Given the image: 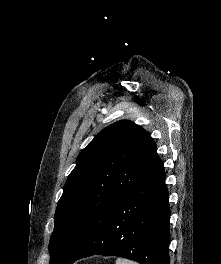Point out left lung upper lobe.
<instances>
[{"mask_svg": "<svg viewBox=\"0 0 221 264\" xmlns=\"http://www.w3.org/2000/svg\"><path fill=\"white\" fill-rule=\"evenodd\" d=\"M159 162L149 133L130 121L97 134L79 154L58 201L50 264L69 255Z\"/></svg>", "mask_w": 221, "mask_h": 264, "instance_id": "1", "label": "left lung upper lobe"}]
</instances>
